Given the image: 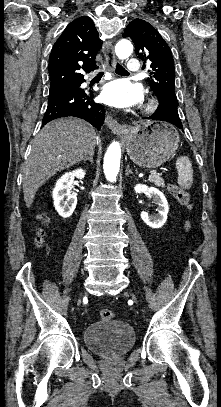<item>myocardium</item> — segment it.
Segmentation results:
<instances>
[{"label":"myocardium","instance_id":"myocardium-1","mask_svg":"<svg viewBox=\"0 0 221 407\" xmlns=\"http://www.w3.org/2000/svg\"><path fill=\"white\" fill-rule=\"evenodd\" d=\"M156 108V101L153 98H149L145 106V111L150 112Z\"/></svg>","mask_w":221,"mask_h":407}]
</instances>
